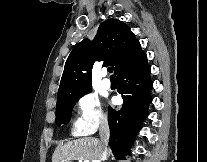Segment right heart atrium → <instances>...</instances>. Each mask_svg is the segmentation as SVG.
Instances as JSON below:
<instances>
[{
  "instance_id": "d8ad5b80",
  "label": "right heart atrium",
  "mask_w": 207,
  "mask_h": 162,
  "mask_svg": "<svg viewBox=\"0 0 207 162\" xmlns=\"http://www.w3.org/2000/svg\"><path fill=\"white\" fill-rule=\"evenodd\" d=\"M75 131L81 136L89 135L107 121L101 103L91 92L83 94L77 101Z\"/></svg>"
}]
</instances>
